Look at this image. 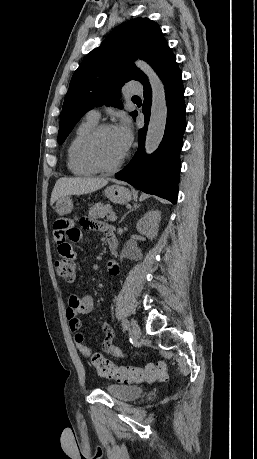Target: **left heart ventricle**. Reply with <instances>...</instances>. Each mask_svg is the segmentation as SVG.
I'll list each match as a JSON object with an SVG mask.
<instances>
[{
    "mask_svg": "<svg viewBox=\"0 0 257 459\" xmlns=\"http://www.w3.org/2000/svg\"><path fill=\"white\" fill-rule=\"evenodd\" d=\"M97 158L105 165H111L121 158L124 152L118 142L115 129L104 131L95 146Z\"/></svg>",
    "mask_w": 257,
    "mask_h": 459,
    "instance_id": "b2bd125f",
    "label": "left heart ventricle"
}]
</instances>
